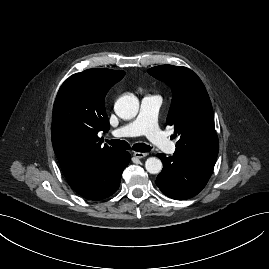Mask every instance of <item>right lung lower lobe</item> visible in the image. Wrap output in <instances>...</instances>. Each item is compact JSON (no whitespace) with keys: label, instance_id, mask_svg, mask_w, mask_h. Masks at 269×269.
<instances>
[{"label":"right lung lower lobe","instance_id":"98d812e1","mask_svg":"<svg viewBox=\"0 0 269 269\" xmlns=\"http://www.w3.org/2000/svg\"><path fill=\"white\" fill-rule=\"evenodd\" d=\"M129 162L130 154L120 151L108 162L66 179L71 188L82 197L90 200L104 199L117 191L122 172Z\"/></svg>","mask_w":269,"mask_h":269}]
</instances>
